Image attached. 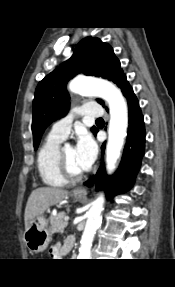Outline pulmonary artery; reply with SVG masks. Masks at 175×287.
<instances>
[{
	"label": "pulmonary artery",
	"mask_w": 175,
	"mask_h": 287,
	"mask_svg": "<svg viewBox=\"0 0 175 287\" xmlns=\"http://www.w3.org/2000/svg\"><path fill=\"white\" fill-rule=\"evenodd\" d=\"M76 113L83 116L99 117L103 115V109L98 104L87 103L77 108ZM73 116L69 115L53 124L50 134L60 139H65L71 129Z\"/></svg>",
	"instance_id": "e3ab8cb5"
}]
</instances>
